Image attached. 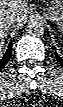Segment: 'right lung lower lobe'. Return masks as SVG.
<instances>
[{"label": "right lung lower lobe", "mask_w": 63, "mask_h": 107, "mask_svg": "<svg viewBox=\"0 0 63 107\" xmlns=\"http://www.w3.org/2000/svg\"><path fill=\"white\" fill-rule=\"evenodd\" d=\"M12 54V42H10L8 49L6 51V53L4 54V56L0 59V71L2 70V68L7 64V62L9 61L10 57Z\"/></svg>", "instance_id": "1"}]
</instances>
